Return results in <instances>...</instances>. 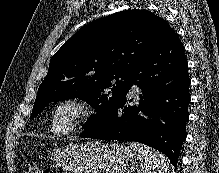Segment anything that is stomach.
Segmentation results:
<instances>
[{"mask_svg": "<svg viewBox=\"0 0 219 173\" xmlns=\"http://www.w3.org/2000/svg\"><path fill=\"white\" fill-rule=\"evenodd\" d=\"M52 161L70 173H131L135 165L132 151L118 143H71L57 148Z\"/></svg>", "mask_w": 219, "mask_h": 173, "instance_id": "stomach-1", "label": "stomach"}]
</instances>
